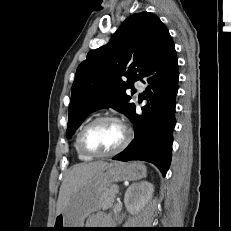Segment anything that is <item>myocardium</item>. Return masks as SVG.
Here are the masks:
<instances>
[{
    "label": "myocardium",
    "instance_id": "obj_1",
    "mask_svg": "<svg viewBox=\"0 0 231 231\" xmlns=\"http://www.w3.org/2000/svg\"><path fill=\"white\" fill-rule=\"evenodd\" d=\"M103 121H112V122L119 124L124 131V138H123L122 142L120 143V145L118 147H116L115 149L108 151V152H105V153H96V152L89 150L86 147L85 135H86L87 131L92 126H94L95 124H97L99 122H103ZM131 137H132V135H131L130 129L127 127V125L119 117L114 116V115H101V116H98V117L92 119L91 121H89L81 129L80 134H79V138H78V146H79L80 151L83 154H85L91 158L110 157V156H114V155L120 153L121 151H123L127 147V145L129 144Z\"/></svg>",
    "mask_w": 231,
    "mask_h": 231
}]
</instances>
